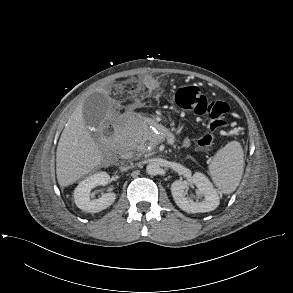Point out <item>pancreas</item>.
Instances as JSON below:
<instances>
[{"label": "pancreas", "instance_id": "obj_1", "mask_svg": "<svg viewBox=\"0 0 293 293\" xmlns=\"http://www.w3.org/2000/svg\"><path fill=\"white\" fill-rule=\"evenodd\" d=\"M134 139V140H133ZM150 139L149 134H145L144 130H140L138 133H135L134 131H123L120 135L119 142L120 143H128V142H137L138 148L142 150H147V147L144 146V143ZM163 137L156 136L151 144H148L152 147L156 146L157 143L161 142Z\"/></svg>", "mask_w": 293, "mask_h": 293}]
</instances>
